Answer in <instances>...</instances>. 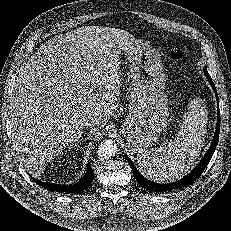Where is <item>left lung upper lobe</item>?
Segmentation results:
<instances>
[{
    "mask_svg": "<svg viewBox=\"0 0 231 231\" xmlns=\"http://www.w3.org/2000/svg\"><path fill=\"white\" fill-rule=\"evenodd\" d=\"M204 71H207V67H204Z\"/></svg>",
    "mask_w": 231,
    "mask_h": 231,
    "instance_id": "5c2ea615",
    "label": "left lung upper lobe"
}]
</instances>
